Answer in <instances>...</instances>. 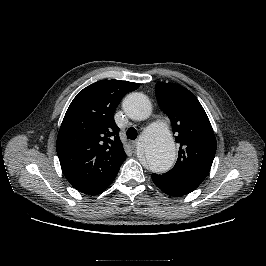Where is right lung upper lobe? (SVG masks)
Returning <instances> with one entry per match:
<instances>
[{
	"label": "right lung upper lobe",
	"mask_w": 266,
	"mask_h": 266,
	"mask_svg": "<svg viewBox=\"0 0 266 266\" xmlns=\"http://www.w3.org/2000/svg\"><path fill=\"white\" fill-rule=\"evenodd\" d=\"M138 83L101 80L80 91L71 102L57 137V154L70 184L91 193L114 178L126 158L114 121L121 98Z\"/></svg>",
	"instance_id": "1"
}]
</instances>
